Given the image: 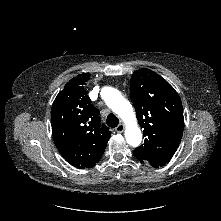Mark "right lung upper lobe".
Instances as JSON below:
<instances>
[{
    "mask_svg": "<svg viewBox=\"0 0 221 221\" xmlns=\"http://www.w3.org/2000/svg\"><path fill=\"white\" fill-rule=\"evenodd\" d=\"M90 73L72 78L55 98L51 109L52 135L62 157L83 169L93 167L102 157L111 136L109 128L100 124L84 85Z\"/></svg>",
    "mask_w": 221,
    "mask_h": 221,
    "instance_id": "1",
    "label": "right lung upper lobe"
}]
</instances>
